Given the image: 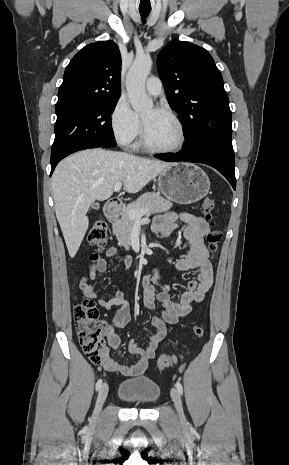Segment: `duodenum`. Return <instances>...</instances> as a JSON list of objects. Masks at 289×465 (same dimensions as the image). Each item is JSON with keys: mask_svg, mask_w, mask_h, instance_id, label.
<instances>
[{"mask_svg": "<svg viewBox=\"0 0 289 465\" xmlns=\"http://www.w3.org/2000/svg\"><path fill=\"white\" fill-rule=\"evenodd\" d=\"M121 201L119 199L110 200L105 207V216L109 221H115L120 214Z\"/></svg>", "mask_w": 289, "mask_h": 465, "instance_id": "duodenum-1", "label": "duodenum"}]
</instances>
